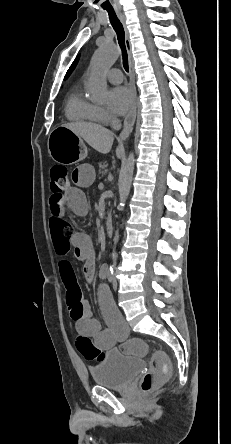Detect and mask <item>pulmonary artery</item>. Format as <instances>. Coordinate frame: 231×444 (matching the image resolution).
I'll list each match as a JSON object with an SVG mask.
<instances>
[{
    "label": "pulmonary artery",
    "instance_id": "obj_1",
    "mask_svg": "<svg viewBox=\"0 0 231 444\" xmlns=\"http://www.w3.org/2000/svg\"><path fill=\"white\" fill-rule=\"evenodd\" d=\"M108 80L113 84H119L123 81V74L119 69H111L107 72Z\"/></svg>",
    "mask_w": 231,
    "mask_h": 444
}]
</instances>
